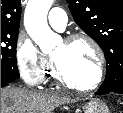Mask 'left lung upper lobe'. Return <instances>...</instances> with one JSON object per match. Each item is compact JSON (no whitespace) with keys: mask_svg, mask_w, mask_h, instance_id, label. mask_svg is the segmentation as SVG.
I'll return each instance as SVG.
<instances>
[{"mask_svg":"<svg viewBox=\"0 0 123 113\" xmlns=\"http://www.w3.org/2000/svg\"><path fill=\"white\" fill-rule=\"evenodd\" d=\"M78 26L105 53L106 78L102 88H123V0H66Z\"/></svg>","mask_w":123,"mask_h":113,"instance_id":"left-lung-upper-lobe-1","label":"left lung upper lobe"}]
</instances>
